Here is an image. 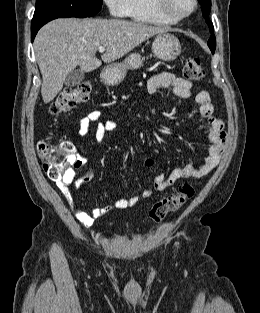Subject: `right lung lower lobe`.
Segmentation results:
<instances>
[{
  "mask_svg": "<svg viewBox=\"0 0 260 313\" xmlns=\"http://www.w3.org/2000/svg\"><path fill=\"white\" fill-rule=\"evenodd\" d=\"M56 19L55 17H38L33 18L31 23V40L33 41L38 30L47 22Z\"/></svg>",
  "mask_w": 260,
  "mask_h": 313,
  "instance_id": "obj_1",
  "label": "right lung lower lobe"
}]
</instances>
